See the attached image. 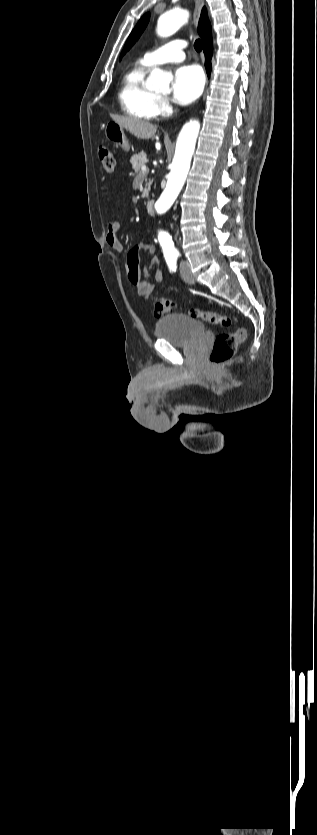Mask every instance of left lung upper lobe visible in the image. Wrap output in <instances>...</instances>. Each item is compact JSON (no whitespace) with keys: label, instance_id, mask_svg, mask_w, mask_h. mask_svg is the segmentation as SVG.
Masks as SVG:
<instances>
[{"label":"left lung upper lobe","instance_id":"1","mask_svg":"<svg viewBox=\"0 0 317 835\" xmlns=\"http://www.w3.org/2000/svg\"><path fill=\"white\" fill-rule=\"evenodd\" d=\"M150 14H145L137 23L136 27L131 32L129 38L127 39L123 51L121 53V57L133 46V44L138 40L142 32L144 31L145 27L149 22Z\"/></svg>","mask_w":317,"mask_h":835}]
</instances>
